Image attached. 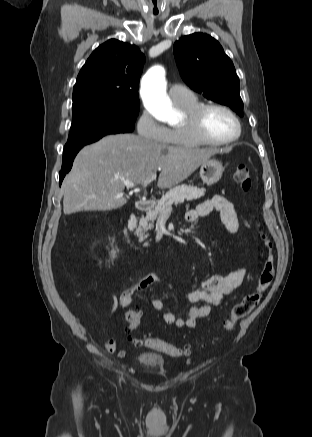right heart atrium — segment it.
<instances>
[{"instance_id": "1", "label": "right heart atrium", "mask_w": 312, "mask_h": 437, "mask_svg": "<svg viewBox=\"0 0 312 437\" xmlns=\"http://www.w3.org/2000/svg\"><path fill=\"white\" fill-rule=\"evenodd\" d=\"M137 132L145 140L165 143L169 131L149 111L143 110L137 120Z\"/></svg>"}]
</instances>
